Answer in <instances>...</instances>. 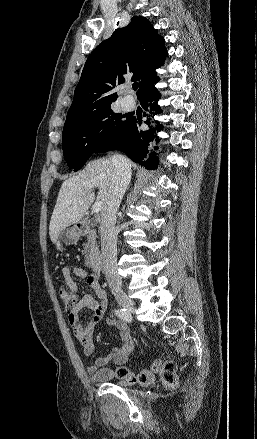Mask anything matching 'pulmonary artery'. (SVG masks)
<instances>
[{"mask_svg": "<svg viewBox=\"0 0 257 439\" xmlns=\"http://www.w3.org/2000/svg\"><path fill=\"white\" fill-rule=\"evenodd\" d=\"M122 105L124 106L125 109L127 110H131L135 107L136 105V101L133 97L131 96H125L122 99Z\"/></svg>", "mask_w": 257, "mask_h": 439, "instance_id": "e3ab8cb5", "label": "pulmonary artery"}]
</instances>
